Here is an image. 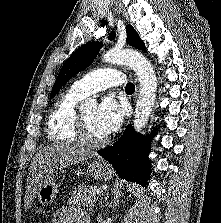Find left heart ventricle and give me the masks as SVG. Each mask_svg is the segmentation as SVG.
Segmentation results:
<instances>
[{
	"instance_id": "b2bd125f",
	"label": "left heart ventricle",
	"mask_w": 221,
	"mask_h": 223,
	"mask_svg": "<svg viewBox=\"0 0 221 223\" xmlns=\"http://www.w3.org/2000/svg\"><path fill=\"white\" fill-rule=\"evenodd\" d=\"M82 115L86 121L90 137L95 139L105 137L97 127L96 111L94 109L85 111Z\"/></svg>"
}]
</instances>
